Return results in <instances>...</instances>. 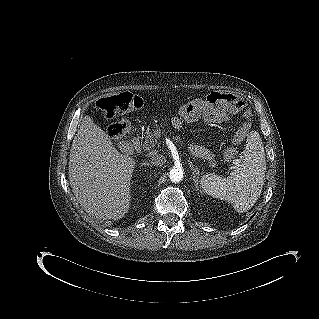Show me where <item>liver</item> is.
Wrapping results in <instances>:
<instances>
[{"label":"liver","mask_w":319,"mask_h":319,"mask_svg":"<svg viewBox=\"0 0 319 319\" xmlns=\"http://www.w3.org/2000/svg\"><path fill=\"white\" fill-rule=\"evenodd\" d=\"M135 159L122 154L90 116L82 119L69 155V181L82 208L97 219L128 212Z\"/></svg>","instance_id":"liver-1"}]
</instances>
